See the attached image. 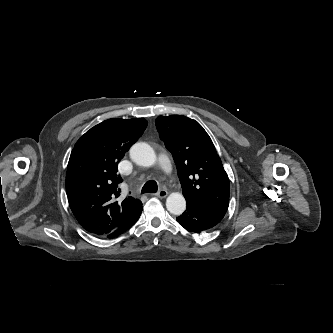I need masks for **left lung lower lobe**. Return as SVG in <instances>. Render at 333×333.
<instances>
[{"label": "left lung lower lobe", "instance_id": "obj_1", "mask_svg": "<svg viewBox=\"0 0 333 333\" xmlns=\"http://www.w3.org/2000/svg\"><path fill=\"white\" fill-rule=\"evenodd\" d=\"M187 202L186 211L176 218L181 226L190 232L200 233L216 226L224 217L225 213L206 210Z\"/></svg>", "mask_w": 333, "mask_h": 333}]
</instances>
